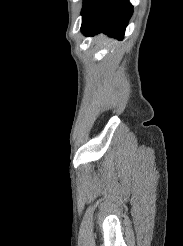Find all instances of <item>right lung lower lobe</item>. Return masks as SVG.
<instances>
[{
	"label": "right lung lower lobe",
	"instance_id": "right-lung-lower-lobe-1",
	"mask_svg": "<svg viewBox=\"0 0 183 246\" xmlns=\"http://www.w3.org/2000/svg\"><path fill=\"white\" fill-rule=\"evenodd\" d=\"M132 13L129 0H84L82 33L89 36L103 32L122 39Z\"/></svg>",
	"mask_w": 183,
	"mask_h": 246
}]
</instances>
